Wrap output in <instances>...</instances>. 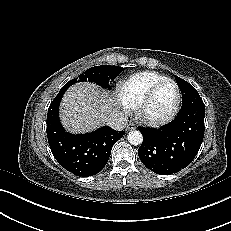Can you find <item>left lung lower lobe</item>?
Returning <instances> with one entry per match:
<instances>
[{
	"label": "left lung lower lobe",
	"mask_w": 231,
	"mask_h": 231,
	"mask_svg": "<svg viewBox=\"0 0 231 231\" xmlns=\"http://www.w3.org/2000/svg\"><path fill=\"white\" fill-rule=\"evenodd\" d=\"M205 105L181 108L176 118L160 129L139 127L143 142L138 150L151 171L171 175L187 167L198 153L204 137Z\"/></svg>",
	"instance_id": "obj_1"
}]
</instances>
